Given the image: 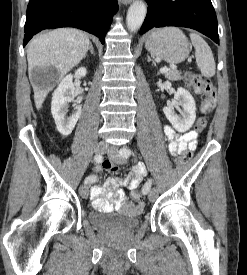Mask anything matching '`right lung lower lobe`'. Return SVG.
Returning <instances> with one entry per match:
<instances>
[{"label":"right lung lower lobe","instance_id":"right-lung-lower-lobe-1","mask_svg":"<svg viewBox=\"0 0 247 275\" xmlns=\"http://www.w3.org/2000/svg\"><path fill=\"white\" fill-rule=\"evenodd\" d=\"M117 11V0H30L23 46L38 32L59 27L85 30L104 44Z\"/></svg>","mask_w":247,"mask_h":275}]
</instances>
